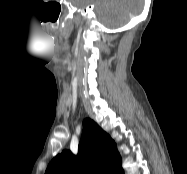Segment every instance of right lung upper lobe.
I'll list each match as a JSON object with an SVG mask.
<instances>
[{
  "label": "right lung upper lobe",
  "instance_id": "cb5924a9",
  "mask_svg": "<svg viewBox=\"0 0 187 174\" xmlns=\"http://www.w3.org/2000/svg\"><path fill=\"white\" fill-rule=\"evenodd\" d=\"M45 174H123L115 142L94 121L87 120L77 156L63 150L48 165Z\"/></svg>",
  "mask_w": 187,
  "mask_h": 174
}]
</instances>
